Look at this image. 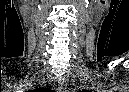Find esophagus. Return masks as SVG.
Listing matches in <instances>:
<instances>
[{"label":"esophagus","mask_w":129,"mask_h":92,"mask_svg":"<svg viewBox=\"0 0 129 92\" xmlns=\"http://www.w3.org/2000/svg\"><path fill=\"white\" fill-rule=\"evenodd\" d=\"M58 92H66V83L64 80L58 82Z\"/></svg>","instance_id":"1"}]
</instances>
